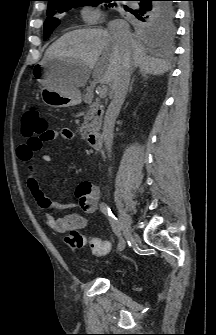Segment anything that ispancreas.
<instances>
[{"instance_id":"obj_1","label":"pancreas","mask_w":216,"mask_h":335,"mask_svg":"<svg viewBox=\"0 0 216 335\" xmlns=\"http://www.w3.org/2000/svg\"><path fill=\"white\" fill-rule=\"evenodd\" d=\"M98 112H99V104L94 103L86 111V114H83L84 122L80 128V132L82 136H85L92 129L98 128V125L100 123Z\"/></svg>"}]
</instances>
